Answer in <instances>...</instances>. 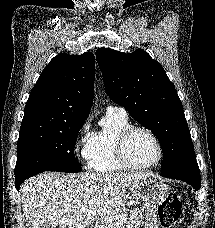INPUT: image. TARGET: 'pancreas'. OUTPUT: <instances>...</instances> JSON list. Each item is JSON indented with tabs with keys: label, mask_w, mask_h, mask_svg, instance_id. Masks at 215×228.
<instances>
[{
	"label": "pancreas",
	"mask_w": 215,
	"mask_h": 228,
	"mask_svg": "<svg viewBox=\"0 0 215 228\" xmlns=\"http://www.w3.org/2000/svg\"><path fill=\"white\" fill-rule=\"evenodd\" d=\"M128 220L126 228H140L145 220L142 210L140 208L129 210Z\"/></svg>",
	"instance_id": "pancreas-1"
}]
</instances>
